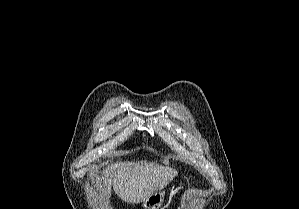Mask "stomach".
<instances>
[{"instance_id": "obj_1", "label": "stomach", "mask_w": 299, "mask_h": 209, "mask_svg": "<svg viewBox=\"0 0 299 209\" xmlns=\"http://www.w3.org/2000/svg\"><path fill=\"white\" fill-rule=\"evenodd\" d=\"M163 198L164 192L158 190L143 201L142 206L144 209H162Z\"/></svg>"}]
</instances>
